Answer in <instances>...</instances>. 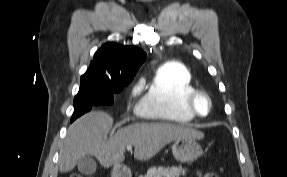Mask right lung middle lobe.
I'll list each match as a JSON object with an SVG mask.
<instances>
[{
	"label": "right lung middle lobe",
	"mask_w": 287,
	"mask_h": 177,
	"mask_svg": "<svg viewBox=\"0 0 287 177\" xmlns=\"http://www.w3.org/2000/svg\"><path fill=\"white\" fill-rule=\"evenodd\" d=\"M131 81L132 80L123 81L114 85L104 86L84 74L81 76L79 92L74 98V107L112 105L114 102L113 93L122 91ZM77 117L78 114L74 112L71 121Z\"/></svg>",
	"instance_id": "obj_1"
}]
</instances>
